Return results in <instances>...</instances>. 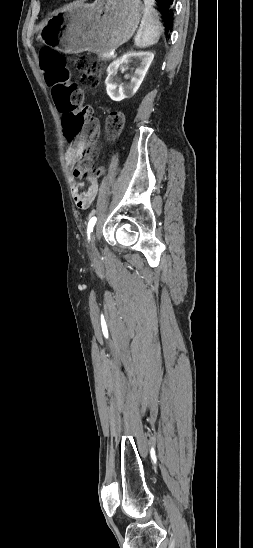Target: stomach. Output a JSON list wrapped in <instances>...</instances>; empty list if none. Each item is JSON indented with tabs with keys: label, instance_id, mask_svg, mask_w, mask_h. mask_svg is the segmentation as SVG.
<instances>
[{
	"label": "stomach",
	"instance_id": "1",
	"mask_svg": "<svg viewBox=\"0 0 253 548\" xmlns=\"http://www.w3.org/2000/svg\"><path fill=\"white\" fill-rule=\"evenodd\" d=\"M143 12L140 0L72 5L57 12L38 38L65 53H111L132 37Z\"/></svg>",
	"mask_w": 253,
	"mask_h": 548
}]
</instances>
